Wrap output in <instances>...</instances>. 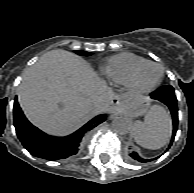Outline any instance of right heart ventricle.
I'll return each mask as SVG.
<instances>
[{"label":"right heart ventricle","mask_w":194,"mask_h":193,"mask_svg":"<svg viewBox=\"0 0 194 193\" xmlns=\"http://www.w3.org/2000/svg\"><path fill=\"white\" fill-rule=\"evenodd\" d=\"M145 61V58L132 53H119L107 58L100 67V72L115 85H130L135 68Z\"/></svg>","instance_id":"right-heart-ventricle-1"}]
</instances>
